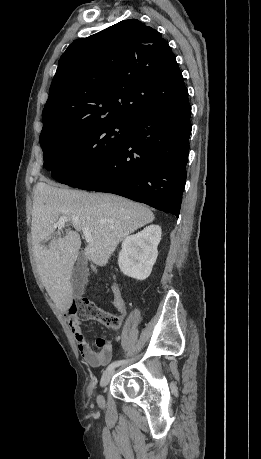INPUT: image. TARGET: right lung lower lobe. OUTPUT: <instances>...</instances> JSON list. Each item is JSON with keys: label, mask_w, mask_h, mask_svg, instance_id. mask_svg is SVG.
<instances>
[{"label": "right lung lower lobe", "mask_w": 261, "mask_h": 459, "mask_svg": "<svg viewBox=\"0 0 261 459\" xmlns=\"http://www.w3.org/2000/svg\"><path fill=\"white\" fill-rule=\"evenodd\" d=\"M191 106L187 88L171 103L132 122L125 144L75 182L179 216L186 182Z\"/></svg>", "instance_id": "98d812e1"}]
</instances>
